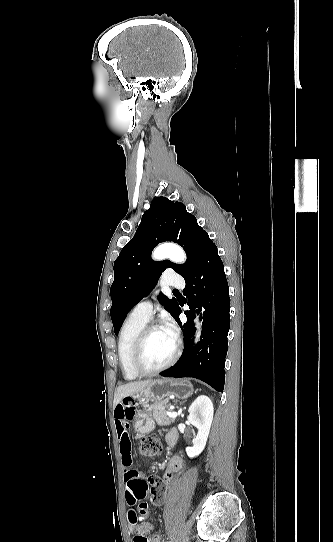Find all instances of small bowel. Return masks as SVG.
Returning <instances> with one entry per match:
<instances>
[{
  "instance_id": "small-bowel-1",
  "label": "small bowel",
  "mask_w": 333,
  "mask_h": 542,
  "mask_svg": "<svg viewBox=\"0 0 333 542\" xmlns=\"http://www.w3.org/2000/svg\"><path fill=\"white\" fill-rule=\"evenodd\" d=\"M134 404L132 400H119L117 406L114 409L115 417V430H116V439L118 445V451L121 456V460L125 465H128L131 462V440L129 435V425L134 417ZM175 430L169 432L166 436L167 441L169 442V435L175 433ZM182 468V459L179 455H174L170 462L168 463L166 472L164 474V479L169 480L173 473L179 472ZM132 471H127L125 474V480L130 483L132 480ZM130 491V488H129ZM131 495V491H130ZM154 502L159 504L160 500L154 498ZM138 513L131 510L129 512V529L132 533L135 534H147L153 529V524L149 522L140 523L136 522V516ZM156 537V536H155Z\"/></svg>"
}]
</instances>
